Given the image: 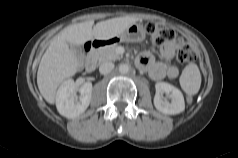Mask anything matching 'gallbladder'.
<instances>
[{
	"label": "gallbladder",
	"instance_id": "obj_1",
	"mask_svg": "<svg viewBox=\"0 0 238 158\" xmlns=\"http://www.w3.org/2000/svg\"><path fill=\"white\" fill-rule=\"evenodd\" d=\"M70 47L73 48V49L76 51V53H77V55H78V58H79L80 61H81L82 56H83V50H82L79 46H76V45H71V44H70Z\"/></svg>",
	"mask_w": 238,
	"mask_h": 158
}]
</instances>
